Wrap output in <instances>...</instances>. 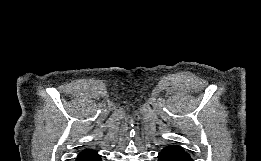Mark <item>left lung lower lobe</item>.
I'll list each match as a JSON object with an SVG mask.
<instances>
[{"instance_id":"1","label":"left lung lower lobe","mask_w":261,"mask_h":161,"mask_svg":"<svg viewBox=\"0 0 261 161\" xmlns=\"http://www.w3.org/2000/svg\"><path fill=\"white\" fill-rule=\"evenodd\" d=\"M158 158V161H193L187 152L175 145L163 149Z\"/></svg>"}]
</instances>
